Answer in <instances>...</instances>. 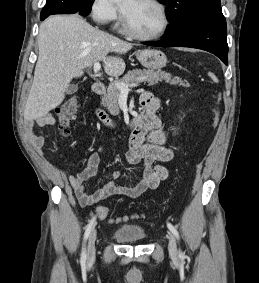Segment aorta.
<instances>
[{"label":"aorta","mask_w":259,"mask_h":283,"mask_svg":"<svg viewBox=\"0 0 259 283\" xmlns=\"http://www.w3.org/2000/svg\"><path fill=\"white\" fill-rule=\"evenodd\" d=\"M112 2H119V1H121V0H111Z\"/></svg>","instance_id":"obj_1"}]
</instances>
